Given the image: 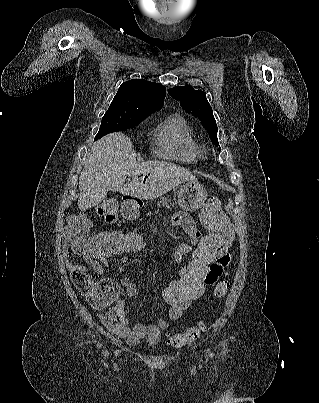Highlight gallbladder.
I'll use <instances>...</instances> for the list:
<instances>
[{
  "instance_id": "obj_1",
  "label": "gallbladder",
  "mask_w": 319,
  "mask_h": 403,
  "mask_svg": "<svg viewBox=\"0 0 319 403\" xmlns=\"http://www.w3.org/2000/svg\"><path fill=\"white\" fill-rule=\"evenodd\" d=\"M107 209H114L115 211L117 210V205L115 204L113 207L111 205L107 206Z\"/></svg>"
}]
</instances>
